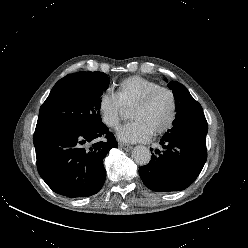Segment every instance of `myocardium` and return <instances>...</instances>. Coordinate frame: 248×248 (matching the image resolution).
<instances>
[{
	"label": "myocardium",
	"mask_w": 248,
	"mask_h": 248,
	"mask_svg": "<svg viewBox=\"0 0 248 248\" xmlns=\"http://www.w3.org/2000/svg\"><path fill=\"white\" fill-rule=\"evenodd\" d=\"M160 92H165L170 96L171 99V112L168 120L166 123L161 126L160 128L156 129L152 133L154 135H159L167 132L171 127L173 126L176 116H177V98L173 90H171L168 87H162L159 86L157 88L152 89L149 91L147 94H145L140 100H138L132 108H143L146 107L152 100L153 98Z\"/></svg>",
	"instance_id": "f54148a6"
}]
</instances>
